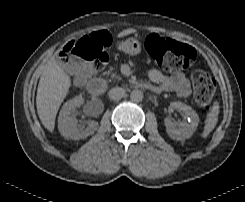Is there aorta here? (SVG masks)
<instances>
[{"mask_svg":"<svg viewBox=\"0 0 245 202\" xmlns=\"http://www.w3.org/2000/svg\"><path fill=\"white\" fill-rule=\"evenodd\" d=\"M130 98L133 102H140L143 99V92L141 90H133L130 94Z\"/></svg>","mask_w":245,"mask_h":202,"instance_id":"1","label":"aorta"}]
</instances>
